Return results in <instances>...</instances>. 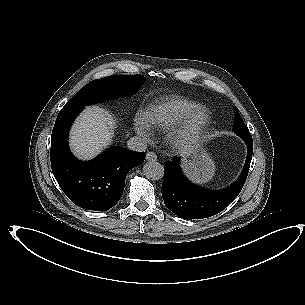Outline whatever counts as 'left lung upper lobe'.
Listing matches in <instances>:
<instances>
[{
  "label": "left lung upper lobe",
  "mask_w": 305,
  "mask_h": 305,
  "mask_svg": "<svg viewBox=\"0 0 305 305\" xmlns=\"http://www.w3.org/2000/svg\"><path fill=\"white\" fill-rule=\"evenodd\" d=\"M235 122L234 129L252 141L251 134L239 115L236 116ZM238 191L239 187H233L231 189L229 188L228 190L219 191L211 197L205 198L204 200L207 201L210 206H220L232 199V196H235Z\"/></svg>",
  "instance_id": "left-lung-upper-lobe-1"
}]
</instances>
